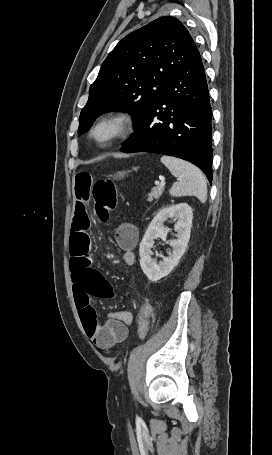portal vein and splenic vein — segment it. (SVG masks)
Returning a JSON list of instances; mask_svg holds the SVG:
<instances>
[{
	"mask_svg": "<svg viewBox=\"0 0 272 455\" xmlns=\"http://www.w3.org/2000/svg\"><path fill=\"white\" fill-rule=\"evenodd\" d=\"M159 186H160V187H164V186H165V181L162 180V181L160 182Z\"/></svg>",
	"mask_w": 272,
	"mask_h": 455,
	"instance_id": "18ae733b",
	"label": "portal vein and splenic vein"
}]
</instances>
